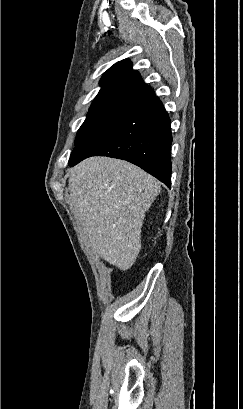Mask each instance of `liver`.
I'll list each match as a JSON object with an SVG mask.
<instances>
[{"label":"liver","mask_w":243,"mask_h":409,"mask_svg":"<svg viewBox=\"0 0 243 409\" xmlns=\"http://www.w3.org/2000/svg\"><path fill=\"white\" fill-rule=\"evenodd\" d=\"M71 205L92 249L121 270L141 248L145 213L159 182L139 167L109 157H90L68 170Z\"/></svg>","instance_id":"liver-1"}]
</instances>
